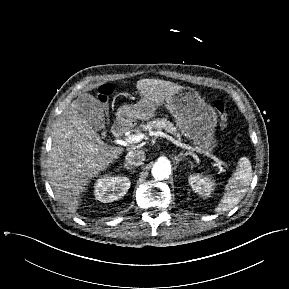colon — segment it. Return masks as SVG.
Instances as JSON below:
<instances>
[{"mask_svg":"<svg viewBox=\"0 0 289 289\" xmlns=\"http://www.w3.org/2000/svg\"><path fill=\"white\" fill-rule=\"evenodd\" d=\"M113 92V87L110 84L101 86L98 90V99L103 106L107 105L108 98ZM214 108L219 116L220 125L222 128H226L228 124V114L225 103L222 100H216L214 102Z\"/></svg>","mask_w":289,"mask_h":289,"instance_id":"colon-1","label":"colon"}]
</instances>
